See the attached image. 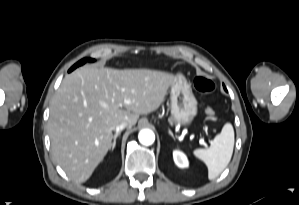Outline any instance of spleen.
Wrapping results in <instances>:
<instances>
[{
	"label": "spleen",
	"mask_w": 299,
	"mask_h": 205,
	"mask_svg": "<svg viewBox=\"0 0 299 205\" xmlns=\"http://www.w3.org/2000/svg\"><path fill=\"white\" fill-rule=\"evenodd\" d=\"M234 148V129L226 123L220 134L216 135L207 149H196L193 154L208 168V178H217L229 164Z\"/></svg>",
	"instance_id": "3e777b00"
}]
</instances>
